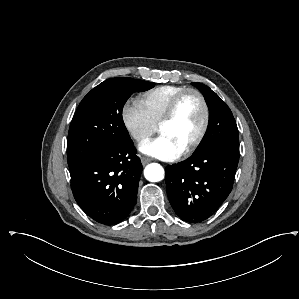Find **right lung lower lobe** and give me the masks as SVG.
Here are the masks:
<instances>
[{"instance_id":"98d812e1","label":"right lung lower lobe","mask_w":299,"mask_h":299,"mask_svg":"<svg viewBox=\"0 0 299 299\" xmlns=\"http://www.w3.org/2000/svg\"><path fill=\"white\" fill-rule=\"evenodd\" d=\"M76 202L95 221L116 224L133 208L142 172L132 140L98 153L70 170Z\"/></svg>"}]
</instances>
